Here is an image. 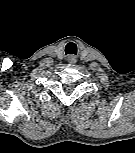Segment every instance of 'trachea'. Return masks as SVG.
<instances>
[{"label":"trachea","mask_w":135,"mask_h":153,"mask_svg":"<svg viewBox=\"0 0 135 153\" xmlns=\"http://www.w3.org/2000/svg\"><path fill=\"white\" fill-rule=\"evenodd\" d=\"M65 53L66 54H74V55H76V53H77V46H76V44L73 43V42H69L65 46Z\"/></svg>","instance_id":"1"}]
</instances>
